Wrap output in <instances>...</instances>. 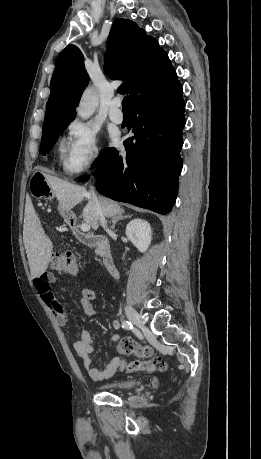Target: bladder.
Instances as JSON below:
<instances>
[{
  "instance_id": "1",
  "label": "bladder",
  "mask_w": 261,
  "mask_h": 459,
  "mask_svg": "<svg viewBox=\"0 0 261 459\" xmlns=\"http://www.w3.org/2000/svg\"><path fill=\"white\" fill-rule=\"evenodd\" d=\"M138 382L135 380H117L110 383H107L102 386L105 390H129L137 386Z\"/></svg>"
}]
</instances>
